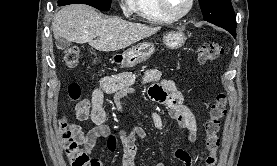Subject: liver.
<instances>
[{"label":"liver","mask_w":277,"mask_h":166,"mask_svg":"<svg viewBox=\"0 0 277 166\" xmlns=\"http://www.w3.org/2000/svg\"><path fill=\"white\" fill-rule=\"evenodd\" d=\"M51 28L56 40L64 38L79 44L89 43L104 52L125 49L160 30V27L117 17L103 18L93 7L84 4L64 6L54 16Z\"/></svg>","instance_id":"liver-1"}]
</instances>
